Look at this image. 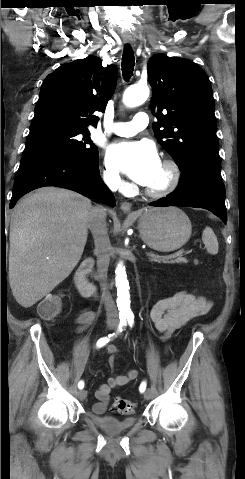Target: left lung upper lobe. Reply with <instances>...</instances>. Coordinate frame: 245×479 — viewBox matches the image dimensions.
Returning <instances> with one entry per match:
<instances>
[{"label":"left lung upper lobe","mask_w":245,"mask_h":479,"mask_svg":"<svg viewBox=\"0 0 245 479\" xmlns=\"http://www.w3.org/2000/svg\"><path fill=\"white\" fill-rule=\"evenodd\" d=\"M153 131L180 169L195 158L218 155L213 91L194 62L157 54L148 61Z\"/></svg>","instance_id":"1"}]
</instances>
